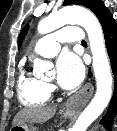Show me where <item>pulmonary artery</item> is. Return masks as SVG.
<instances>
[{
	"label": "pulmonary artery",
	"instance_id": "pulmonary-artery-1",
	"mask_svg": "<svg viewBox=\"0 0 117 131\" xmlns=\"http://www.w3.org/2000/svg\"><path fill=\"white\" fill-rule=\"evenodd\" d=\"M83 40L84 35L80 28L74 26L64 27L40 38L34 46L32 55L53 57L59 52L60 43L81 42Z\"/></svg>",
	"mask_w": 117,
	"mask_h": 131
}]
</instances>
